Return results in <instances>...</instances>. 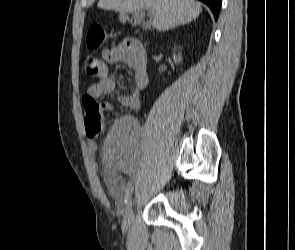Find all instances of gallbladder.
<instances>
[{"label": "gallbladder", "mask_w": 295, "mask_h": 250, "mask_svg": "<svg viewBox=\"0 0 295 250\" xmlns=\"http://www.w3.org/2000/svg\"><path fill=\"white\" fill-rule=\"evenodd\" d=\"M135 17L139 18V17H140V15H139L138 13H135Z\"/></svg>", "instance_id": "obj_1"}]
</instances>
